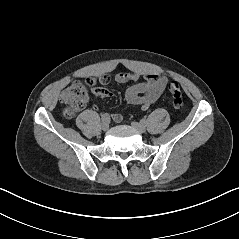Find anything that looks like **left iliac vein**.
Instances as JSON below:
<instances>
[{
  "mask_svg": "<svg viewBox=\"0 0 239 239\" xmlns=\"http://www.w3.org/2000/svg\"><path fill=\"white\" fill-rule=\"evenodd\" d=\"M131 125L140 133H144L146 131L145 125L142 123H138V122H132Z\"/></svg>",
  "mask_w": 239,
  "mask_h": 239,
  "instance_id": "obj_1",
  "label": "left iliac vein"
}]
</instances>
